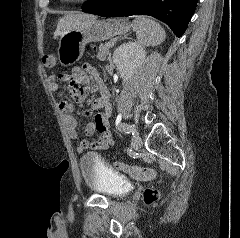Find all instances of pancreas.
Segmentation results:
<instances>
[{"label": "pancreas", "instance_id": "obj_1", "mask_svg": "<svg viewBox=\"0 0 240 238\" xmlns=\"http://www.w3.org/2000/svg\"><path fill=\"white\" fill-rule=\"evenodd\" d=\"M107 56H110L109 47L108 43H105L104 45H102V47L99 48V51L97 53V59L100 61H104Z\"/></svg>", "mask_w": 240, "mask_h": 238}]
</instances>
